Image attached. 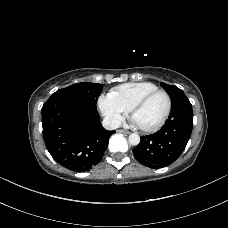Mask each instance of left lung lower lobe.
I'll return each instance as SVG.
<instances>
[{
    "label": "left lung lower lobe",
    "instance_id": "0a47b994",
    "mask_svg": "<svg viewBox=\"0 0 228 228\" xmlns=\"http://www.w3.org/2000/svg\"><path fill=\"white\" fill-rule=\"evenodd\" d=\"M193 127L192 105L188 98L173 106L169 119L158 132L141 137L133 153L138 162L157 169L173 163L184 151Z\"/></svg>",
    "mask_w": 228,
    "mask_h": 228
}]
</instances>
